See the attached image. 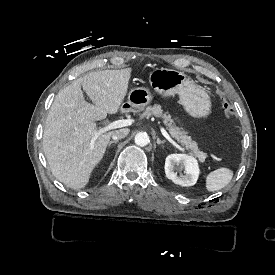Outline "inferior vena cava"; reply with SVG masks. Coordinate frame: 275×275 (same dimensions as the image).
I'll return each mask as SVG.
<instances>
[{"label":"inferior vena cava","mask_w":275,"mask_h":275,"mask_svg":"<svg viewBox=\"0 0 275 275\" xmlns=\"http://www.w3.org/2000/svg\"><path fill=\"white\" fill-rule=\"evenodd\" d=\"M130 130L127 128L115 130L112 133V139L114 140H120L125 138L129 134Z\"/></svg>","instance_id":"1"}]
</instances>
